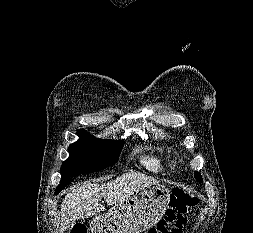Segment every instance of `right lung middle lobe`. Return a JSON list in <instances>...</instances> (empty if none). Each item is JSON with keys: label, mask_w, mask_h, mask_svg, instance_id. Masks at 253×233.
I'll return each mask as SVG.
<instances>
[{"label": "right lung middle lobe", "mask_w": 253, "mask_h": 233, "mask_svg": "<svg viewBox=\"0 0 253 233\" xmlns=\"http://www.w3.org/2000/svg\"><path fill=\"white\" fill-rule=\"evenodd\" d=\"M80 140L69 146V158L61 166V182L83 174L103 170L118 161L123 140H105L78 131Z\"/></svg>", "instance_id": "right-lung-middle-lobe-1"}]
</instances>
